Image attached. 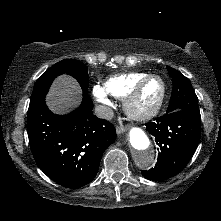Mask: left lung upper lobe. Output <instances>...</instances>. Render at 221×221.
Segmentation results:
<instances>
[{
  "instance_id": "obj_1",
  "label": "left lung upper lobe",
  "mask_w": 221,
  "mask_h": 221,
  "mask_svg": "<svg viewBox=\"0 0 221 221\" xmlns=\"http://www.w3.org/2000/svg\"><path fill=\"white\" fill-rule=\"evenodd\" d=\"M166 68L173 82L171 99L166 113L184 110L196 118H201L198 108V98L189 79L169 66H166Z\"/></svg>"
}]
</instances>
